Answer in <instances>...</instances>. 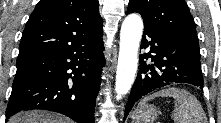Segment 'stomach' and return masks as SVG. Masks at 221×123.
Returning <instances> with one entry per match:
<instances>
[{
    "label": "stomach",
    "mask_w": 221,
    "mask_h": 123,
    "mask_svg": "<svg viewBox=\"0 0 221 123\" xmlns=\"http://www.w3.org/2000/svg\"><path fill=\"white\" fill-rule=\"evenodd\" d=\"M159 114V108L152 104H145L144 106L135 109L133 120L135 123H150L153 122Z\"/></svg>",
    "instance_id": "stomach-1"
}]
</instances>
